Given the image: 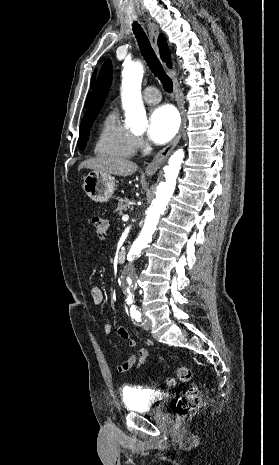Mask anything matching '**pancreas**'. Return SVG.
Here are the masks:
<instances>
[{"label":"pancreas","mask_w":279,"mask_h":465,"mask_svg":"<svg viewBox=\"0 0 279 465\" xmlns=\"http://www.w3.org/2000/svg\"><path fill=\"white\" fill-rule=\"evenodd\" d=\"M129 208V205L125 203V201L123 199H120L119 202H118V206L115 210V212L117 214H122L123 211H127V209Z\"/></svg>","instance_id":"pancreas-1"}]
</instances>
